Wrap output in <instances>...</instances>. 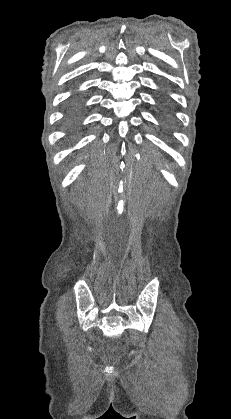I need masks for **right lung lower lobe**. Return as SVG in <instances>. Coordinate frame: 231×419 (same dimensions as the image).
<instances>
[{"instance_id":"obj_1","label":"right lung lower lobe","mask_w":231,"mask_h":419,"mask_svg":"<svg viewBox=\"0 0 231 419\" xmlns=\"http://www.w3.org/2000/svg\"><path fill=\"white\" fill-rule=\"evenodd\" d=\"M81 102L78 98H74L67 108V119L72 124L73 128L77 127L81 115Z\"/></svg>"}]
</instances>
